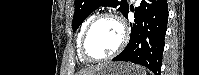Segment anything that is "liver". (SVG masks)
<instances>
[{
	"mask_svg": "<svg viewBox=\"0 0 199 75\" xmlns=\"http://www.w3.org/2000/svg\"><path fill=\"white\" fill-rule=\"evenodd\" d=\"M98 69H99V67L92 68L89 70H83V71H80L78 75H93Z\"/></svg>",
	"mask_w": 199,
	"mask_h": 75,
	"instance_id": "6515ba94",
	"label": "liver"
}]
</instances>
